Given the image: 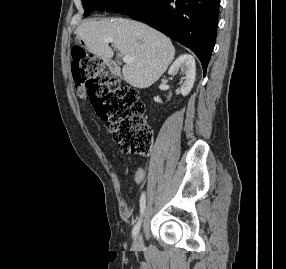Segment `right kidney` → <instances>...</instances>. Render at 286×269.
<instances>
[{
    "label": "right kidney",
    "instance_id": "obj_1",
    "mask_svg": "<svg viewBox=\"0 0 286 269\" xmlns=\"http://www.w3.org/2000/svg\"><path fill=\"white\" fill-rule=\"evenodd\" d=\"M179 69L184 74L180 92L183 96H186L191 91L195 81L196 66L193 56L184 54L178 57L169 68L168 73L174 75Z\"/></svg>",
    "mask_w": 286,
    "mask_h": 269
}]
</instances>
